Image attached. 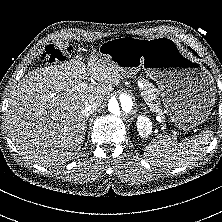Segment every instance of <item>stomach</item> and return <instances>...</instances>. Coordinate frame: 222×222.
<instances>
[{
  "instance_id": "stomach-1",
  "label": "stomach",
  "mask_w": 222,
  "mask_h": 222,
  "mask_svg": "<svg viewBox=\"0 0 222 222\" xmlns=\"http://www.w3.org/2000/svg\"><path fill=\"white\" fill-rule=\"evenodd\" d=\"M99 57L129 74L143 68L158 84L171 120L180 128H193L208 118L215 103L213 78L177 40L119 37L102 43Z\"/></svg>"
}]
</instances>
